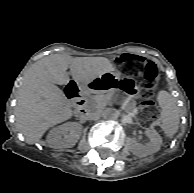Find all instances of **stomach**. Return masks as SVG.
Masks as SVG:
<instances>
[{
  "mask_svg": "<svg viewBox=\"0 0 194 193\" xmlns=\"http://www.w3.org/2000/svg\"><path fill=\"white\" fill-rule=\"evenodd\" d=\"M82 85L102 92L113 91L120 87L124 93L132 97H138L141 94V89L133 78L121 77L120 74L112 71L104 72L89 83Z\"/></svg>",
  "mask_w": 194,
  "mask_h": 193,
  "instance_id": "stomach-1",
  "label": "stomach"
}]
</instances>
